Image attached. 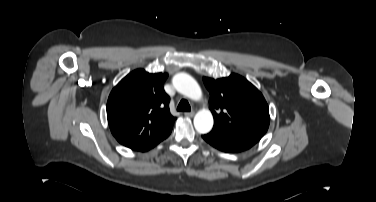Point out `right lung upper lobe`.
<instances>
[{
    "instance_id": "right-lung-upper-lobe-1",
    "label": "right lung upper lobe",
    "mask_w": 376,
    "mask_h": 202,
    "mask_svg": "<svg viewBox=\"0 0 376 202\" xmlns=\"http://www.w3.org/2000/svg\"><path fill=\"white\" fill-rule=\"evenodd\" d=\"M168 74L137 69L123 78L107 101V118L113 136L122 145L140 150L157 143L175 121L163 83Z\"/></svg>"
}]
</instances>
